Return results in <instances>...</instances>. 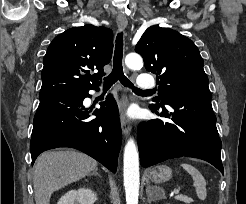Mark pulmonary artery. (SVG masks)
<instances>
[{"label":"pulmonary artery","mask_w":246,"mask_h":204,"mask_svg":"<svg viewBox=\"0 0 246 204\" xmlns=\"http://www.w3.org/2000/svg\"><path fill=\"white\" fill-rule=\"evenodd\" d=\"M137 86L142 90L152 89L155 86V81L151 75L142 73L138 76Z\"/></svg>","instance_id":"obj_1"}]
</instances>
